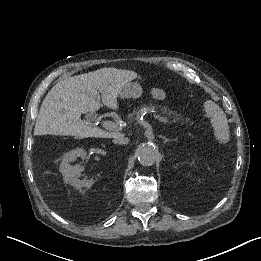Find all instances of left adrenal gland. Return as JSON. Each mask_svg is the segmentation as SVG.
Masks as SVG:
<instances>
[{
  "label": "left adrenal gland",
  "instance_id": "obj_1",
  "mask_svg": "<svg viewBox=\"0 0 261 261\" xmlns=\"http://www.w3.org/2000/svg\"><path fill=\"white\" fill-rule=\"evenodd\" d=\"M159 138H162V139L164 140V143L170 141L167 137H165V136H163V135H159Z\"/></svg>",
  "mask_w": 261,
  "mask_h": 261
}]
</instances>
